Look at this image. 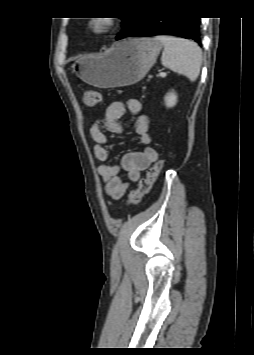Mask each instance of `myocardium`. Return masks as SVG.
Returning <instances> with one entry per match:
<instances>
[{
    "label": "myocardium",
    "instance_id": "obj_1",
    "mask_svg": "<svg viewBox=\"0 0 254 355\" xmlns=\"http://www.w3.org/2000/svg\"><path fill=\"white\" fill-rule=\"evenodd\" d=\"M115 25V19L111 17H93L89 19V32L97 37H101L110 33Z\"/></svg>",
    "mask_w": 254,
    "mask_h": 355
}]
</instances>
